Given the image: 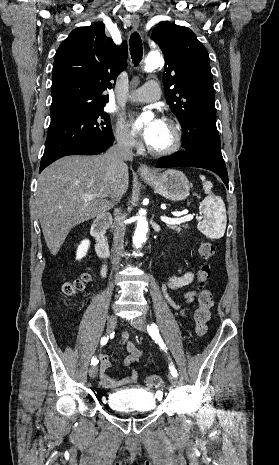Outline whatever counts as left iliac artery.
Masks as SVG:
<instances>
[{
	"instance_id": "left-iliac-artery-1",
	"label": "left iliac artery",
	"mask_w": 279,
	"mask_h": 465,
	"mask_svg": "<svg viewBox=\"0 0 279 465\" xmlns=\"http://www.w3.org/2000/svg\"><path fill=\"white\" fill-rule=\"evenodd\" d=\"M147 331L149 332V334L151 335V337L155 340V342L158 343V345L160 346L161 349L165 350L166 349V345L165 343L163 342L160 334H159V330L157 328V325L156 324H151L150 326L147 327ZM170 372L173 376H177V370L175 369V367L173 365H170Z\"/></svg>"
}]
</instances>
